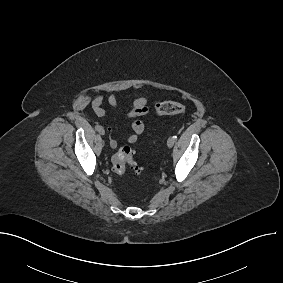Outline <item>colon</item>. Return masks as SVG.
<instances>
[{"label":"colon","mask_w":283,"mask_h":283,"mask_svg":"<svg viewBox=\"0 0 283 283\" xmlns=\"http://www.w3.org/2000/svg\"><path fill=\"white\" fill-rule=\"evenodd\" d=\"M186 111L185 105L175 101L159 102L155 106V112L158 115H180ZM113 172L122 177L130 166L135 172L140 173L142 168L134 160V152L131 147H121L111 158Z\"/></svg>","instance_id":"1"}]
</instances>
